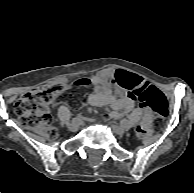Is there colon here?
<instances>
[{"label":"colon","mask_w":194,"mask_h":193,"mask_svg":"<svg viewBox=\"0 0 194 193\" xmlns=\"http://www.w3.org/2000/svg\"><path fill=\"white\" fill-rule=\"evenodd\" d=\"M116 78L122 87L131 91L134 98L150 111L151 115L159 117L168 111V103L164 95L154 86L138 89L137 81L123 72L117 73ZM88 84L87 79H79L73 82L60 81L38 87L24 93L15 103L14 111L23 127L34 129L44 138L54 140L59 133L57 128L51 124L49 105L58 95L73 87L81 88ZM139 134L147 137L148 131L141 130Z\"/></svg>","instance_id":"1"}]
</instances>
